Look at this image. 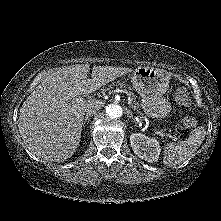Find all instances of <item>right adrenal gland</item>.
Returning a JSON list of instances; mask_svg holds the SVG:
<instances>
[{"mask_svg": "<svg viewBox=\"0 0 221 221\" xmlns=\"http://www.w3.org/2000/svg\"><path fill=\"white\" fill-rule=\"evenodd\" d=\"M89 119V116H85L84 121H83V125H85V123L87 122V120Z\"/></svg>", "mask_w": 221, "mask_h": 221, "instance_id": "1", "label": "right adrenal gland"}]
</instances>
